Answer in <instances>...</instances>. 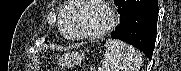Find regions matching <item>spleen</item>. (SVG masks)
<instances>
[{
	"mask_svg": "<svg viewBox=\"0 0 181 71\" xmlns=\"http://www.w3.org/2000/svg\"><path fill=\"white\" fill-rule=\"evenodd\" d=\"M105 47L102 71H139L142 59L134 47L113 39Z\"/></svg>",
	"mask_w": 181,
	"mask_h": 71,
	"instance_id": "1",
	"label": "spleen"
}]
</instances>
